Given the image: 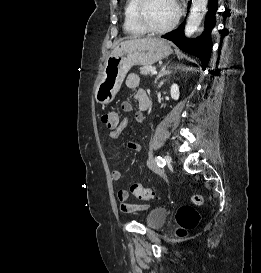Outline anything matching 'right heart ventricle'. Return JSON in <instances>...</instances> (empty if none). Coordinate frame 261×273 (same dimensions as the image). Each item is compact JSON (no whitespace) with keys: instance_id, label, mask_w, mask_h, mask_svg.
Segmentation results:
<instances>
[{"instance_id":"1","label":"right heart ventricle","mask_w":261,"mask_h":273,"mask_svg":"<svg viewBox=\"0 0 261 273\" xmlns=\"http://www.w3.org/2000/svg\"><path fill=\"white\" fill-rule=\"evenodd\" d=\"M136 3H137V0H126L125 7H124L123 28H124V31L130 35H141L145 32L136 24L133 17V11H134V7Z\"/></svg>"}]
</instances>
